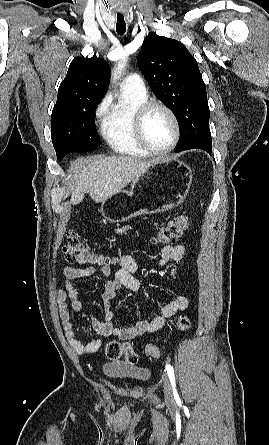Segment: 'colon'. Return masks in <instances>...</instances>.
I'll use <instances>...</instances> for the list:
<instances>
[{"label":"colon","instance_id":"5ec220e1","mask_svg":"<svg viewBox=\"0 0 269 445\" xmlns=\"http://www.w3.org/2000/svg\"><path fill=\"white\" fill-rule=\"evenodd\" d=\"M190 221L187 216H179L163 225L153 237L152 243L158 245H169L175 243L189 228ZM63 253L67 262L88 267H110L113 259L107 255L99 253L85 245L78 235L73 231H68L63 245ZM191 320L188 316L182 315L178 318L177 328L181 332L189 330ZM106 356L111 360L124 357L130 364L137 362V354L128 343H121L115 340L109 341L105 347ZM147 356L158 358L161 355L159 348L155 345H148L145 349Z\"/></svg>","mask_w":269,"mask_h":445}]
</instances>
